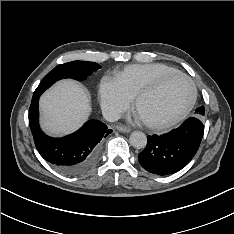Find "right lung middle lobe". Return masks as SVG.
<instances>
[{
    "mask_svg": "<svg viewBox=\"0 0 234 234\" xmlns=\"http://www.w3.org/2000/svg\"><path fill=\"white\" fill-rule=\"evenodd\" d=\"M99 68L101 67L97 63L87 61H72L58 65L42 79L33 97L40 96L47 88L60 79L84 80Z\"/></svg>",
    "mask_w": 234,
    "mask_h": 234,
    "instance_id": "dd1d6c3e",
    "label": "right lung middle lobe"
}]
</instances>
